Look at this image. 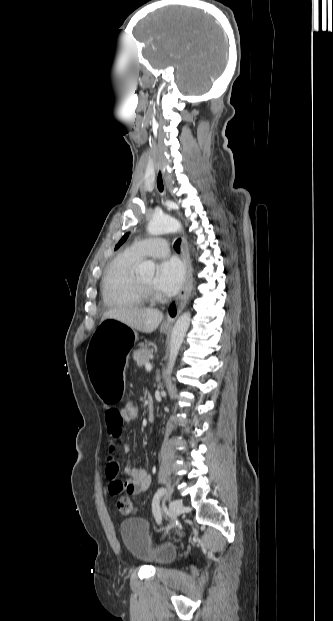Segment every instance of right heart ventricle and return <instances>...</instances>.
<instances>
[{"mask_svg": "<svg viewBox=\"0 0 333 621\" xmlns=\"http://www.w3.org/2000/svg\"><path fill=\"white\" fill-rule=\"evenodd\" d=\"M138 262L139 258L126 251L110 263L102 282V296L107 305L139 306L146 303L133 273Z\"/></svg>", "mask_w": 333, "mask_h": 621, "instance_id": "right-heart-ventricle-1", "label": "right heart ventricle"}]
</instances>
